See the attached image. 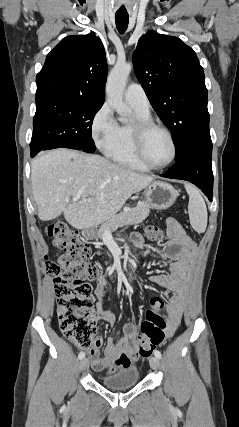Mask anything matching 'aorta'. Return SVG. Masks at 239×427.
Instances as JSON below:
<instances>
[{"mask_svg":"<svg viewBox=\"0 0 239 427\" xmlns=\"http://www.w3.org/2000/svg\"><path fill=\"white\" fill-rule=\"evenodd\" d=\"M132 66L129 63H116L106 84V94L110 105L121 116H128L131 109L123 102V93Z\"/></svg>","mask_w":239,"mask_h":427,"instance_id":"obj_1","label":"aorta"}]
</instances>
